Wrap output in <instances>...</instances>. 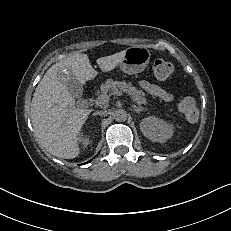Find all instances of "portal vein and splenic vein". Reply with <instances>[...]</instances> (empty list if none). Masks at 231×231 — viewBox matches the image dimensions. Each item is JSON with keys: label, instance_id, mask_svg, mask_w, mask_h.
Instances as JSON below:
<instances>
[{"label": "portal vein and splenic vein", "instance_id": "18ae733b", "mask_svg": "<svg viewBox=\"0 0 231 231\" xmlns=\"http://www.w3.org/2000/svg\"><path fill=\"white\" fill-rule=\"evenodd\" d=\"M112 95H116V96H121L122 92L115 90ZM109 101V96L108 95H100L99 97H97V99L95 100V103L97 105H105L107 104Z\"/></svg>", "mask_w": 231, "mask_h": 231}]
</instances>
